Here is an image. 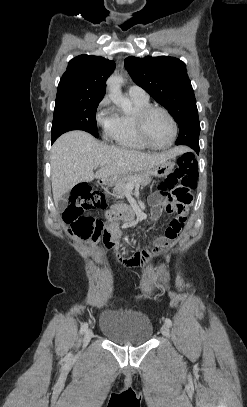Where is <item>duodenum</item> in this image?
I'll use <instances>...</instances> for the list:
<instances>
[{"instance_id": "obj_1", "label": "duodenum", "mask_w": 247, "mask_h": 407, "mask_svg": "<svg viewBox=\"0 0 247 407\" xmlns=\"http://www.w3.org/2000/svg\"><path fill=\"white\" fill-rule=\"evenodd\" d=\"M136 210L133 208L123 209V208H114L107 213L109 222L116 223H129L132 222L135 218Z\"/></svg>"}]
</instances>
